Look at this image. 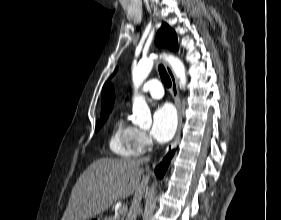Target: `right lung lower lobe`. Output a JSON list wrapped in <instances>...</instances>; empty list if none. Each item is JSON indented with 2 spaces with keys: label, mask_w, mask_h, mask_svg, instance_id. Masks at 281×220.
I'll list each match as a JSON object with an SVG mask.
<instances>
[{
  "label": "right lung lower lobe",
  "mask_w": 281,
  "mask_h": 220,
  "mask_svg": "<svg viewBox=\"0 0 281 220\" xmlns=\"http://www.w3.org/2000/svg\"><path fill=\"white\" fill-rule=\"evenodd\" d=\"M174 154V151L169 152L166 157L163 159L162 163H160L156 169H155V174L158 178H162L167 170V167L170 163V160Z\"/></svg>",
  "instance_id": "right-lung-lower-lobe-1"
}]
</instances>
